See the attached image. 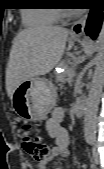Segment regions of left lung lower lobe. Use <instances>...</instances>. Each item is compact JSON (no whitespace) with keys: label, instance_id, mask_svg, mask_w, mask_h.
<instances>
[{"label":"left lung lower lobe","instance_id":"left-lung-lower-lobe-1","mask_svg":"<svg viewBox=\"0 0 104 169\" xmlns=\"http://www.w3.org/2000/svg\"><path fill=\"white\" fill-rule=\"evenodd\" d=\"M101 24L102 9H91L85 28L86 34L95 39L100 30Z\"/></svg>","mask_w":104,"mask_h":169}]
</instances>
